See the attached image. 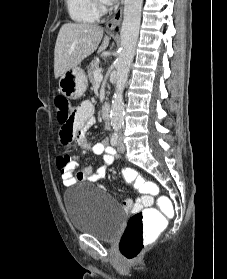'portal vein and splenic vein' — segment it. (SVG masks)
I'll list each match as a JSON object with an SVG mask.
<instances>
[{
  "instance_id": "portal-vein-and-splenic-vein-1",
  "label": "portal vein and splenic vein",
  "mask_w": 227,
  "mask_h": 279,
  "mask_svg": "<svg viewBox=\"0 0 227 279\" xmlns=\"http://www.w3.org/2000/svg\"><path fill=\"white\" fill-rule=\"evenodd\" d=\"M94 79L96 82H101L103 79L102 69H98L94 73Z\"/></svg>"
}]
</instances>
